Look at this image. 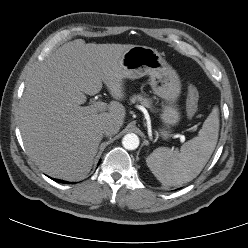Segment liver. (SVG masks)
Here are the masks:
<instances>
[{
	"label": "liver",
	"instance_id": "1",
	"mask_svg": "<svg viewBox=\"0 0 248 248\" xmlns=\"http://www.w3.org/2000/svg\"><path fill=\"white\" fill-rule=\"evenodd\" d=\"M131 44L65 43L29 77L19 108V128L28 155L41 171L68 181L84 178L91 170L102 125L120 127L126 110L111 101L108 112H91L81 105L103 83L115 100H123L127 72L122 65Z\"/></svg>",
	"mask_w": 248,
	"mask_h": 248
}]
</instances>
